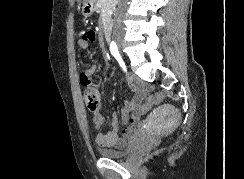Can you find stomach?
<instances>
[{
  "instance_id": "obj_1",
  "label": "stomach",
  "mask_w": 244,
  "mask_h": 179,
  "mask_svg": "<svg viewBox=\"0 0 244 179\" xmlns=\"http://www.w3.org/2000/svg\"><path fill=\"white\" fill-rule=\"evenodd\" d=\"M93 12H95V0H85L82 6L83 16H85V18H88V16H91Z\"/></svg>"
}]
</instances>
